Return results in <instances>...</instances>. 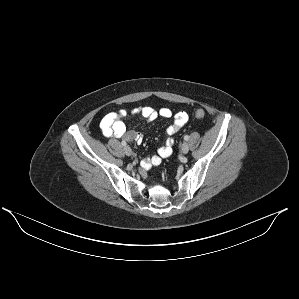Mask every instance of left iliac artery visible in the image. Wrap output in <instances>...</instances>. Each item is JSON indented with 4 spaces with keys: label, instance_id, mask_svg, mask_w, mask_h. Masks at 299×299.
Wrapping results in <instances>:
<instances>
[{
    "label": "left iliac artery",
    "instance_id": "1",
    "mask_svg": "<svg viewBox=\"0 0 299 299\" xmlns=\"http://www.w3.org/2000/svg\"><path fill=\"white\" fill-rule=\"evenodd\" d=\"M189 139V136L188 135H186V136H184V140H188Z\"/></svg>",
    "mask_w": 299,
    "mask_h": 299
}]
</instances>
